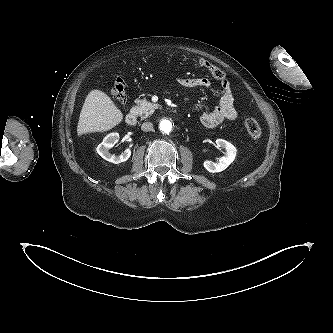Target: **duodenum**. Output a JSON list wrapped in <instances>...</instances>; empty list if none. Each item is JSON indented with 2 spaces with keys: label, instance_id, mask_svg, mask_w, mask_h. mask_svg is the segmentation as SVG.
I'll list each match as a JSON object with an SVG mask.
<instances>
[{
  "label": "duodenum",
  "instance_id": "obj_1",
  "mask_svg": "<svg viewBox=\"0 0 333 333\" xmlns=\"http://www.w3.org/2000/svg\"><path fill=\"white\" fill-rule=\"evenodd\" d=\"M126 123L133 126L137 123V112L132 109L126 116Z\"/></svg>",
  "mask_w": 333,
  "mask_h": 333
}]
</instances>
